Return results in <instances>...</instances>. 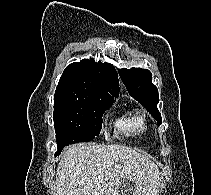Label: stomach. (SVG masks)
<instances>
[{
    "label": "stomach",
    "mask_w": 211,
    "mask_h": 195,
    "mask_svg": "<svg viewBox=\"0 0 211 195\" xmlns=\"http://www.w3.org/2000/svg\"><path fill=\"white\" fill-rule=\"evenodd\" d=\"M122 185H123V187L125 188L126 186L129 185V183L124 182ZM133 195H137V194H135V190L133 191Z\"/></svg>",
    "instance_id": "obj_1"
}]
</instances>
